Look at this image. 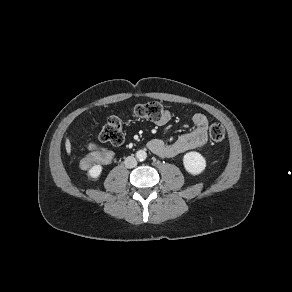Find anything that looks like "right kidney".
I'll return each mask as SVG.
<instances>
[{
	"label": "right kidney",
	"mask_w": 292,
	"mask_h": 292,
	"mask_svg": "<svg viewBox=\"0 0 292 292\" xmlns=\"http://www.w3.org/2000/svg\"><path fill=\"white\" fill-rule=\"evenodd\" d=\"M102 166L101 165H94L92 166L89 171H88V175L91 177V178H98L101 173H102Z\"/></svg>",
	"instance_id": "obj_1"
}]
</instances>
